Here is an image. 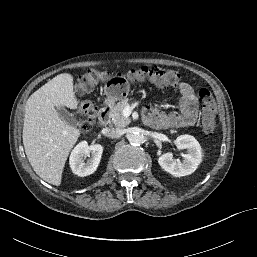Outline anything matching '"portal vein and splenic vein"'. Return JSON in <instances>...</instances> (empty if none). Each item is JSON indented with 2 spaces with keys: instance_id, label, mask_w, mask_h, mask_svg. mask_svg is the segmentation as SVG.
Returning <instances> with one entry per match:
<instances>
[{
  "instance_id": "portal-vein-and-splenic-vein-1",
  "label": "portal vein and splenic vein",
  "mask_w": 257,
  "mask_h": 257,
  "mask_svg": "<svg viewBox=\"0 0 257 257\" xmlns=\"http://www.w3.org/2000/svg\"><path fill=\"white\" fill-rule=\"evenodd\" d=\"M131 110H132V108H131L130 106H126V107L124 108V110H123V115H124L125 117H128V116L131 114Z\"/></svg>"
}]
</instances>
